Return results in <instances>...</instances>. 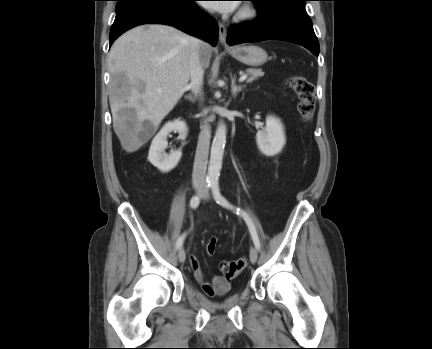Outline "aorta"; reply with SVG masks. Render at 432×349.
Segmentation results:
<instances>
[{"instance_id": "obj_1", "label": "aorta", "mask_w": 432, "mask_h": 349, "mask_svg": "<svg viewBox=\"0 0 432 349\" xmlns=\"http://www.w3.org/2000/svg\"><path fill=\"white\" fill-rule=\"evenodd\" d=\"M226 125L220 121L215 132L211 146L210 161L208 167L207 179L210 182L218 181L222 168L224 148L226 144Z\"/></svg>"}]
</instances>
